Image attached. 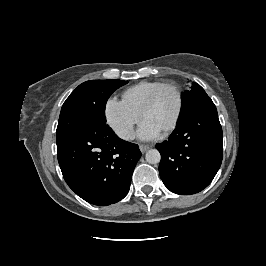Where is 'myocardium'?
Masks as SVG:
<instances>
[{
    "instance_id": "1",
    "label": "myocardium",
    "mask_w": 266,
    "mask_h": 266,
    "mask_svg": "<svg viewBox=\"0 0 266 266\" xmlns=\"http://www.w3.org/2000/svg\"><path fill=\"white\" fill-rule=\"evenodd\" d=\"M166 88H172L175 91L178 98V107L172 122L163 130L164 133L171 132L177 126L183 111V106H184L183 94L180 87L177 84L164 83L161 86H159L157 89H155L154 92L150 95L148 100L143 105L142 110L140 112L141 119L144 120L146 112L153 106L160 93Z\"/></svg>"
}]
</instances>
